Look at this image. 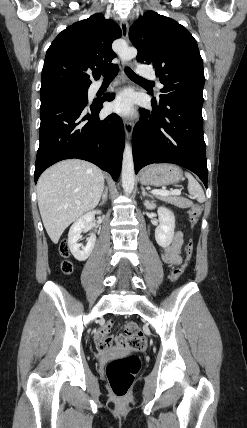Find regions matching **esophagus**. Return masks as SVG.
<instances>
[{"label":"esophagus","mask_w":247,"mask_h":428,"mask_svg":"<svg viewBox=\"0 0 247 428\" xmlns=\"http://www.w3.org/2000/svg\"><path fill=\"white\" fill-rule=\"evenodd\" d=\"M120 28L122 31V37L124 39L128 40V35H129L128 22L126 20H122L120 23ZM126 65L131 67L132 62H128ZM122 73L124 74V70L122 71ZM123 123H124L125 134H126L127 138L130 139L132 136V133H133V123L130 119H124Z\"/></svg>","instance_id":"obj_1"}]
</instances>
